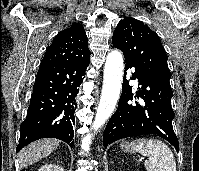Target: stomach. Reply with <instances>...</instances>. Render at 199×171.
Listing matches in <instances>:
<instances>
[{
    "label": "stomach",
    "mask_w": 199,
    "mask_h": 171,
    "mask_svg": "<svg viewBox=\"0 0 199 171\" xmlns=\"http://www.w3.org/2000/svg\"><path fill=\"white\" fill-rule=\"evenodd\" d=\"M121 147L122 149L125 151V152H128V153H133L134 152V149L131 147V145L127 142H124L121 144Z\"/></svg>",
    "instance_id": "stomach-1"
}]
</instances>
